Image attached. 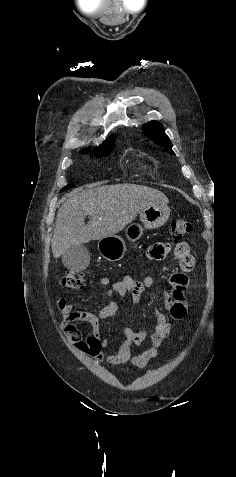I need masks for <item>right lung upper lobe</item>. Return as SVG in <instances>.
Instances as JSON below:
<instances>
[{
    "label": "right lung upper lobe",
    "instance_id": "obj_1",
    "mask_svg": "<svg viewBox=\"0 0 236 477\" xmlns=\"http://www.w3.org/2000/svg\"><path fill=\"white\" fill-rule=\"evenodd\" d=\"M114 143H115V138H114V135H112L109 139L104 141L100 147L95 149V153L102 150L113 149Z\"/></svg>",
    "mask_w": 236,
    "mask_h": 477
}]
</instances>
